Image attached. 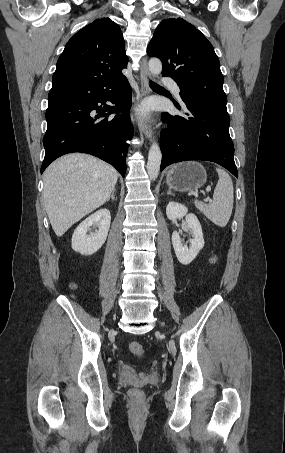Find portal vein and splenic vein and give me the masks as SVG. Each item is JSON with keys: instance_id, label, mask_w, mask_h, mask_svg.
Returning <instances> with one entry per match:
<instances>
[{"instance_id": "1", "label": "portal vein and splenic vein", "mask_w": 285, "mask_h": 453, "mask_svg": "<svg viewBox=\"0 0 285 453\" xmlns=\"http://www.w3.org/2000/svg\"><path fill=\"white\" fill-rule=\"evenodd\" d=\"M211 190L210 187H207L206 191L209 192ZM207 201L211 202V199H207Z\"/></svg>"}]
</instances>
